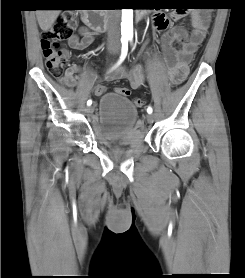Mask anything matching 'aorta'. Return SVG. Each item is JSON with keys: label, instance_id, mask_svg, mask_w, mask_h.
Masks as SVG:
<instances>
[{"label": "aorta", "instance_id": "obj_1", "mask_svg": "<svg viewBox=\"0 0 245 278\" xmlns=\"http://www.w3.org/2000/svg\"><path fill=\"white\" fill-rule=\"evenodd\" d=\"M121 33L123 37L133 35V9H122Z\"/></svg>", "mask_w": 245, "mask_h": 278}]
</instances>
